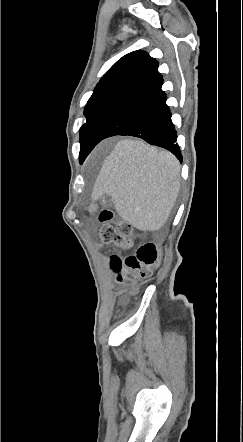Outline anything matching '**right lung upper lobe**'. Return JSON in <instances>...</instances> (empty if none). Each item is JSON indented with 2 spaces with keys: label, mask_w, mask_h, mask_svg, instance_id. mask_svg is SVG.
<instances>
[{
  "label": "right lung upper lobe",
  "mask_w": 243,
  "mask_h": 442,
  "mask_svg": "<svg viewBox=\"0 0 243 442\" xmlns=\"http://www.w3.org/2000/svg\"><path fill=\"white\" fill-rule=\"evenodd\" d=\"M160 76L156 59L144 51H133L120 58L104 74L90 99L112 94L126 96Z\"/></svg>",
  "instance_id": "cb5924a9"
}]
</instances>
